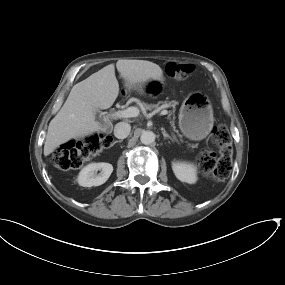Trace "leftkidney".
I'll return each instance as SVG.
<instances>
[{
  "instance_id": "1",
  "label": "left kidney",
  "mask_w": 285,
  "mask_h": 285,
  "mask_svg": "<svg viewBox=\"0 0 285 285\" xmlns=\"http://www.w3.org/2000/svg\"><path fill=\"white\" fill-rule=\"evenodd\" d=\"M172 170L182 182L193 184L197 181L196 166L187 162H173Z\"/></svg>"
}]
</instances>
